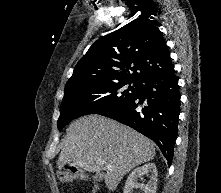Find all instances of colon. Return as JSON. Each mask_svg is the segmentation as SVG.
I'll return each instance as SVG.
<instances>
[{"label":"colon","instance_id":"1","mask_svg":"<svg viewBox=\"0 0 221 193\" xmlns=\"http://www.w3.org/2000/svg\"><path fill=\"white\" fill-rule=\"evenodd\" d=\"M71 169V168H70ZM93 193H97V190H94Z\"/></svg>","mask_w":221,"mask_h":193}]
</instances>
